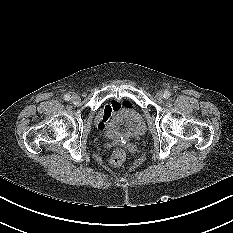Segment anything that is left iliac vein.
Returning <instances> with one entry per match:
<instances>
[{
  "label": "left iliac vein",
  "mask_w": 233,
  "mask_h": 233,
  "mask_svg": "<svg viewBox=\"0 0 233 233\" xmlns=\"http://www.w3.org/2000/svg\"><path fill=\"white\" fill-rule=\"evenodd\" d=\"M163 95H164V93L162 91H158L156 93V98L159 100H162L164 98Z\"/></svg>",
  "instance_id": "4c4485c4"
}]
</instances>
